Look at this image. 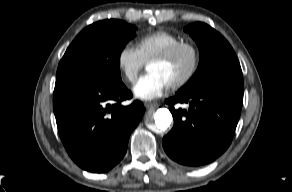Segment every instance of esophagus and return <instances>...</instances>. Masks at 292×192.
I'll return each mask as SVG.
<instances>
[{"label":"esophagus","mask_w":292,"mask_h":192,"mask_svg":"<svg viewBox=\"0 0 292 192\" xmlns=\"http://www.w3.org/2000/svg\"><path fill=\"white\" fill-rule=\"evenodd\" d=\"M144 106L147 109H153V108H157L158 107V104L157 103H151V102H145L144 103Z\"/></svg>","instance_id":"esophagus-1"}]
</instances>
